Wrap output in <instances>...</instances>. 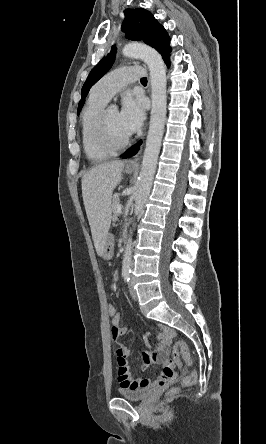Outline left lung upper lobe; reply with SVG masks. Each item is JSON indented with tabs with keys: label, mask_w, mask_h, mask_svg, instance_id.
<instances>
[{
	"label": "left lung upper lobe",
	"mask_w": 266,
	"mask_h": 444,
	"mask_svg": "<svg viewBox=\"0 0 266 444\" xmlns=\"http://www.w3.org/2000/svg\"><path fill=\"white\" fill-rule=\"evenodd\" d=\"M125 18L122 23V31L125 32L126 38L135 41H143L155 48L166 61L170 57V38L154 16L147 10L126 9L124 11ZM116 48L112 47L110 53L104 57L90 72L85 81L82 91L81 100L78 105V114L83 107L85 97L89 89L103 77L111 68L115 60Z\"/></svg>",
	"instance_id": "left-lung-upper-lobe-1"
}]
</instances>
